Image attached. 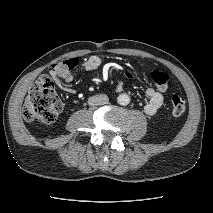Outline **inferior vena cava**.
<instances>
[{
	"instance_id": "602c4592",
	"label": "inferior vena cava",
	"mask_w": 213,
	"mask_h": 213,
	"mask_svg": "<svg viewBox=\"0 0 213 213\" xmlns=\"http://www.w3.org/2000/svg\"><path fill=\"white\" fill-rule=\"evenodd\" d=\"M108 101H109V98L105 94L95 95L88 99L89 105H92V106L93 105H104V104H107Z\"/></svg>"
}]
</instances>
